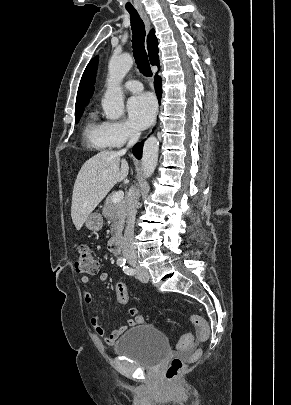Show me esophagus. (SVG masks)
I'll return each instance as SVG.
<instances>
[{"mask_svg":"<svg viewBox=\"0 0 291 405\" xmlns=\"http://www.w3.org/2000/svg\"><path fill=\"white\" fill-rule=\"evenodd\" d=\"M140 15L142 16V18H143V20H144V22L146 24L147 30H149L150 29V21H149L148 16L143 11L140 12Z\"/></svg>","mask_w":291,"mask_h":405,"instance_id":"obj_1","label":"esophagus"}]
</instances>
